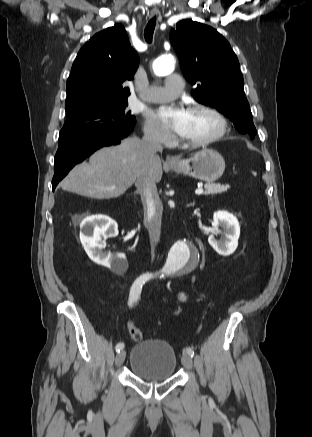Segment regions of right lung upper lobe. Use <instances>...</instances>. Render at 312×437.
Wrapping results in <instances>:
<instances>
[{
    "instance_id": "cb5924a9",
    "label": "right lung upper lobe",
    "mask_w": 312,
    "mask_h": 437,
    "mask_svg": "<svg viewBox=\"0 0 312 437\" xmlns=\"http://www.w3.org/2000/svg\"><path fill=\"white\" fill-rule=\"evenodd\" d=\"M139 57L127 33L115 24L94 35L78 52L67 80L66 107L85 102L127 101Z\"/></svg>"
}]
</instances>
